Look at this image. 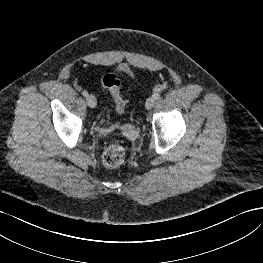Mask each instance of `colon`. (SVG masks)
Listing matches in <instances>:
<instances>
[{"label": "colon", "mask_w": 263, "mask_h": 263, "mask_svg": "<svg viewBox=\"0 0 263 263\" xmlns=\"http://www.w3.org/2000/svg\"><path fill=\"white\" fill-rule=\"evenodd\" d=\"M102 84L112 96L117 112L121 114L124 111L126 101L121 95L120 80L114 73L109 72L103 75ZM124 159L125 148L119 142L110 143L102 154L103 164L109 168L119 167Z\"/></svg>", "instance_id": "1"}]
</instances>
